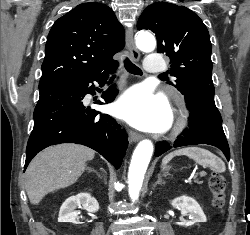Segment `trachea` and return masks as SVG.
Returning a JSON list of instances; mask_svg holds the SVG:
<instances>
[{"label": "trachea", "instance_id": "3493384b", "mask_svg": "<svg viewBox=\"0 0 250 235\" xmlns=\"http://www.w3.org/2000/svg\"><path fill=\"white\" fill-rule=\"evenodd\" d=\"M124 66L129 73L142 75V71L134 63H132L128 58L124 60ZM159 77H165L164 74H160Z\"/></svg>", "mask_w": 250, "mask_h": 235}]
</instances>
